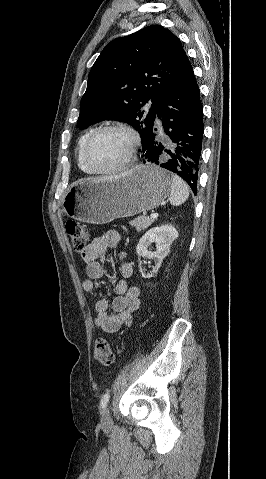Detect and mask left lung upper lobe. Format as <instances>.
I'll return each mask as SVG.
<instances>
[{
	"label": "left lung upper lobe",
	"mask_w": 266,
	"mask_h": 479,
	"mask_svg": "<svg viewBox=\"0 0 266 479\" xmlns=\"http://www.w3.org/2000/svg\"><path fill=\"white\" fill-rule=\"evenodd\" d=\"M190 66L178 37L160 25L114 39L91 68L78 126L85 129L103 120L126 122L139 132L143 150L161 102ZM148 101L152 105L143 117L140 110Z\"/></svg>",
	"instance_id": "5c2ea615"
}]
</instances>
